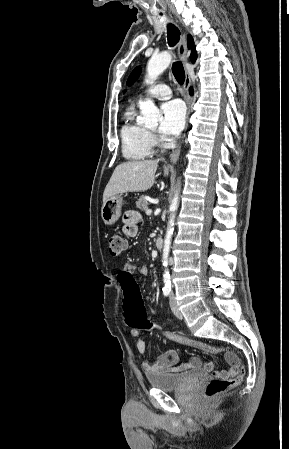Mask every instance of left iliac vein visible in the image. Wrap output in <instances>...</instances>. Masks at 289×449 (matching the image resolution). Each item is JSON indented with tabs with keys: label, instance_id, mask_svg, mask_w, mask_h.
Returning a JSON list of instances; mask_svg holds the SVG:
<instances>
[{
	"label": "left iliac vein",
	"instance_id": "1",
	"mask_svg": "<svg viewBox=\"0 0 289 449\" xmlns=\"http://www.w3.org/2000/svg\"><path fill=\"white\" fill-rule=\"evenodd\" d=\"M170 307H171V310L174 313V315L177 318L182 319V317H183L182 313L177 306L176 299L173 294L170 295Z\"/></svg>",
	"mask_w": 289,
	"mask_h": 449
}]
</instances>
